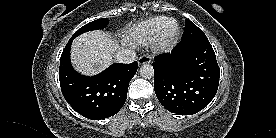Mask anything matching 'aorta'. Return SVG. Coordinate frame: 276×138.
<instances>
[{
	"label": "aorta",
	"instance_id": "762f6f07",
	"mask_svg": "<svg viewBox=\"0 0 276 138\" xmlns=\"http://www.w3.org/2000/svg\"><path fill=\"white\" fill-rule=\"evenodd\" d=\"M140 75L145 79H150L154 76L153 66L150 64H143L140 68Z\"/></svg>",
	"mask_w": 276,
	"mask_h": 138
}]
</instances>
